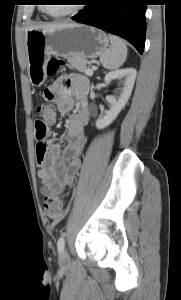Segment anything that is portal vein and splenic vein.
Listing matches in <instances>:
<instances>
[{"label":"portal vein and splenic vein","mask_w":181,"mask_h":300,"mask_svg":"<svg viewBox=\"0 0 181 300\" xmlns=\"http://www.w3.org/2000/svg\"><path fill=\"white\" fill-rule=\"evenodd\" d=\"M85 74L87 76H92L93 75V70L92 69H87L86 72H85Z\"/></svg>","instance_id":"portal-vein-and-splenic-vein-1"}]
</instances>
